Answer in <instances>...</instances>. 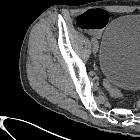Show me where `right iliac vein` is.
Instances as JSON below:
<instances>
[{
  "label": "right iliac vein",
  "instance_id": "1",
  "mask_svg": "<svg viewBox=\"0 0 140 140\" xmlns=\"http://www.w3.org/2000/svg\"><path fill=\"white\" fill-rule=\"evenodd\" d=\"M93 51H94V52L97 51V45H96V44L93 46Z\"/></svg>",
  "mask_w": 140,
  "mask_h": 140
}]
</instances>
